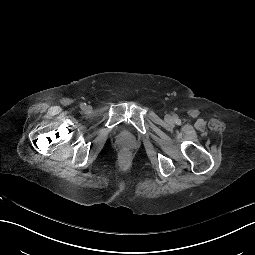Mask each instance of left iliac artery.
Here are the masks:
<instances>
[{
	"mask_svg": "<svg viewBox=\"0 0 255 255\" xmlns=\"http://www.w3.org/2000/svg\"><path fill=\"white\" fill-rule=\"evenodd\" d=\"M180 122H181V121H180V119H176V123H178V124H179Z\"/></svg>",
	"mask_w": 255,
	"mask_h": 255,
	"instance_id": "44dca946",
	"label": "left iliac artery"
}]
</instances>
